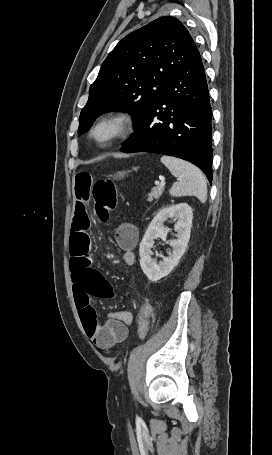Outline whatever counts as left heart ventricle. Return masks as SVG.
Segmentation results:
<instances>
[{
    "label": "left heart ventricle",
    "instance_id": "b2bd125f",
    "mask_svg": "<svg viewBox=\"0 0 272 455\" xmlns=\"http://www.w3.org/2000/svg\"><path fill=\"white\" fill-rule=\"evenodd\" d=\"M112 134V128L110 126H103L96 132V138L98 140H105Z\"/></svg>",
    "mask_w": 272,
    "mask_h": 455
}]
</instances>
